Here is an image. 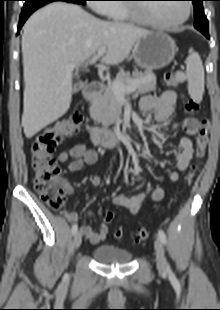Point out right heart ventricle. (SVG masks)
I'll return each instance as SVG.
<instances>
[{
	"mask_svg": "<svg viewBox=\"0 0 220 310\" xmlns=\"http://www.w3.org/2000/svg\"><path fill=\"white\" fill-rule=\"evenodd\" d=\"M110 7L106 10L105 15L117 21H129L131 16L126 5L122 4H109Z\"/></svg>",
	"mask_w": 220,
	"mask_h": 310,
	"instance_id": "e07e8e85",
	"label": "right heart ventricle"
}]
</instances>
